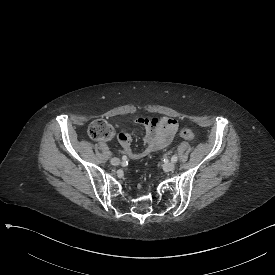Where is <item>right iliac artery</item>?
<instances>
[{
  "label": "right iliac artery",
  "instance_id": "right-iliac-artery-1",
  "mask_svg": "<svg viewBox=\"0 0 275 275\" xmlns=\"http://www.w3.org/2000/svg\"><path fill=\"white\" fill-rule=\"evenodd\" d=\"M122 159H123V160H126V157H125V156H123V157H122Z\"/></svg>",
  "mask_w": 275,
  "mask_h": 275
}]
</instances>
